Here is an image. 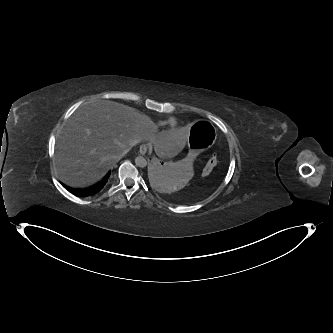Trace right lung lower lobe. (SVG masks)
<instances>
[{
	"instance_id": "obj_1",
	"label": "right lung lower lobe",
	"mask_w": 333,
	"mask_h": 333,
	"mask_svg": "<svg viewBox=\"0 0 333 333\" xmlns=\"http://www.w3.org/2000/svg\"><path fill=\"white\" fill-rule=\"evenodd\" d=\"M110 176V172L107 173V175L103 178L101 182H99L97 185L87 188V189H73L67 187V189L74 195L79 197H87V196H93L100 192V190L105 186V184L108 181V178Z\"/></svg>"
}]
</instances>
